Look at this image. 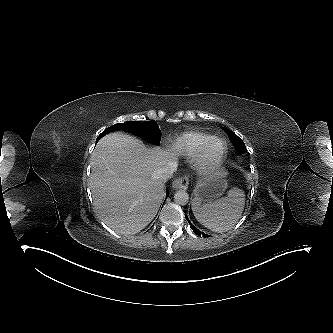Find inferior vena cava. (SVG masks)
Segmentation results:
<instances>
[{
    "label": "inferior vena cava",
    "instance_id": "obj_1",
    "mask_svg": "<svg viewBox=\"0 0 333 333\" xmlns=\"http://www.w3.org/2000/svg\"><path fill=\"white\" fill-rule=\"evenodd\" d=\"M177 169V162L174 160L169 161L164 167L160 169V178L163 181L172 178L174 171Z\"/></svg>",
    "mask_w": 333,
    "mask_h": 333
}]
</instances>
